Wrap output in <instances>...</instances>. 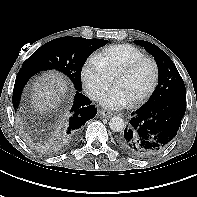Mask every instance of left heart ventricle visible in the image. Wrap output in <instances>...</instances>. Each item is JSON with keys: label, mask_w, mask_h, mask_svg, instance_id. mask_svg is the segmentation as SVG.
<instances>
[{"label": "left heart ventricle", "mask_w": 197, "mask_h": 197, "mask_svg": "<svg viewBox=\"0 0 197 197\" xmlns=\"http://www.w3.org/2000/svg\"><path fill=\"white\" fill-rule=\"evenodd\" d=\"M153 68L150 63H143L131 75L114 79V85L121 88L130 101L141 96L150 86Z\"/></svg>", "instance_id": "1"}]
</instances>
